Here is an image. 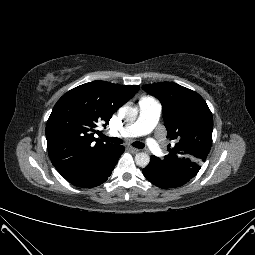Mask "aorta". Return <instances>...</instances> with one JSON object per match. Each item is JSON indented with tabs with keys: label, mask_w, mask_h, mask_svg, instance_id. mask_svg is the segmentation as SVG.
<instances>
[{
	"label": "aorta",
	"mask_w": 255,
	"mask_h": 255,
	"mask_svg": "<svg viewBox=\"0 0 255 255\" xmlns=\"http://www.w3.org/2000/svg\"><path fill=\"white\" fill-rule=\"evenodd\" d=\"M121 116L127 122H134L138 115V110L135 107L125 106L121 109ZM150 162V156L147 153L140 152L135 156V163L140 167H146Z\"/></svg>",
	"instance_id": "aorta-1"
}]
</instances>
